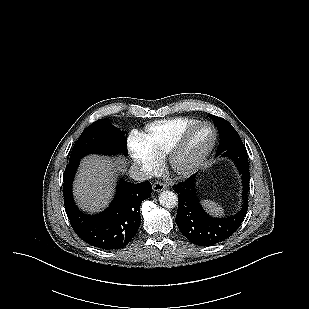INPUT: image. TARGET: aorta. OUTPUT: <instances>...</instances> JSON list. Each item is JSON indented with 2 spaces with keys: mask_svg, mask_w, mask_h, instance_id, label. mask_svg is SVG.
I'll return each mask as SVG.
<instances>
[{
  "mask_svg": "<svg viewBox=\"0 0 309 309\" xmlns=\"http://www.w3.org/2000/svg\"><path fill=\"white\" fill-rule=\"evenodd\" d=\"M160 205L165 208H174L178 203L177 195L172 191H162L159 196Z\"/></svg>",
  "mask_w": 309,
  "mask_h": 309,
  "instance_id": "aorta-1",
  "label": "aorta"
}]
</instances>
